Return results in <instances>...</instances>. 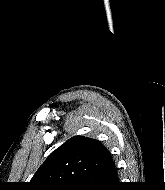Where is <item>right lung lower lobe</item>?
<instances>
[{
	"label": "right lung lower lobe",
	"mask_w": 165,
	"mask_h": 190,
	"mask_svg": "<svg viewBox=\"0 0 165 190\" xmlns=\"http://www.w3.org/2000/svg\"><path fill=\"white\" fill-rule=\"evenodd\" d=\"M80 182V190L123 189V183L118 181L117 169L113 160L90 171Z\"/></svg>",
	"instance_id": "right-lung-lower-lobe-1"
}]
</instances>
